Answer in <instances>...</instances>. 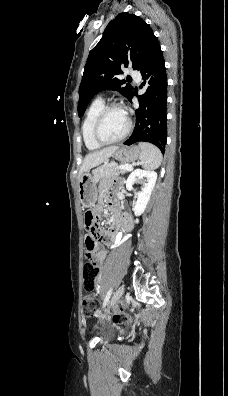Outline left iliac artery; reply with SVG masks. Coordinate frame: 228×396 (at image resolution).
<instances>
[{
    "label": "left iliac artery",
    "mask_w": 228,
    "mask_h": 396,
    "mask_svg": "<svg viewBox=\"0 0 228 396\" xmlns=\"http://www.w3.org/2000/svg\"><path fill=\"white\" fill-rule=\"evenodd\" d=\"M113 288H110V290L108 291V293L106 294L104 301H103V307H105L110 299V296L112 294Z\"/></svg>",
    "instance_id": "44dca946"
}]
</instances>
